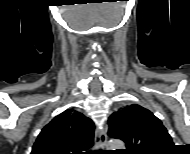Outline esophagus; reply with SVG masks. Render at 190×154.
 <instances>
[{
	"mask_svg": "<svg viewBox=\"0 0 190 154\" xmlns=\"http://www.w3.org/2000/svg\"><path fill=\"white\" fill-rule=\"evenodd\" d=\"M94 143L96 148H101L104 150L107 143V132L104 128H97L95 131Z\"/></svg>",
	"mask_w": 190,
	"mask_h": 154,
	"instance_id": "34e87169",
	"label": "esophagus"
}]
</instances>
